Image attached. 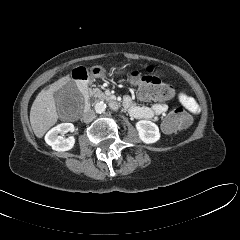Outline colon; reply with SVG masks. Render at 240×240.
<instances>
[{
  "label": "colon",
  "mask_w": 240,
  "mask_h": 240,
  "mask_svg": "<svg viewBox=\"0 0 240 240\" xmlns=\"http://www.w3.org/2000/svg\"><path fill=\"white\" fill-rule=\"evenodd\" d=\"M130 83L137 89L138 96L142 100L166 101L174 95L173 87L154 75L132 72ZM190 123V116L184 110L177 108L167 114L162 127L165 132L172 133L186 128Z\"/></svg>",
  "instance_id": "1"
}]
</instances>
